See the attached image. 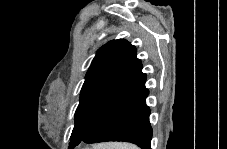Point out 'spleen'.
I'll return each instance as SVG.
<instances>
[{"label":"spleen","instance_id":"1","mask_svg":"<svg viewBox=\"0 0 227 149\" xmlns=\"http://www.w3.org/2000/svg\"><path fill=\"white\" fill-rule=\"evenodd\" d=\"M101 149H138L136 146L127 143H108L100 146Z\"/></svg>","mask_w":227,"mask_h":149}]
</instances>
